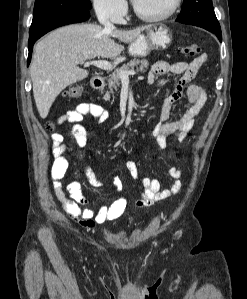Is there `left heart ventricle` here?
<instances>
[{
    "mask_svg": "<svg viewBox=\"0 0 247 299\" xmlns=\"http://www.w3.org/2000/svg\"><path fill=\"white\" fill-rule=\"evenodd\" d=\"M172 0H135L134 4L143 13L156 15L165 12Z\"/></svg>",
    "mask_w": 247,
    "mask_h": 299,
    "instance_id": "1",
    "label": "left heart ventricle"
}]
</instances>
